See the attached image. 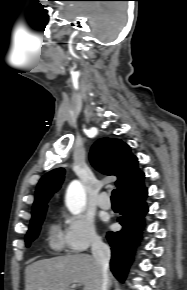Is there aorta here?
I'll return each mask as SVG.
<instances>
[{
  "mask_svg": "<svg viewBox=\"0 0 187 290\" xmlns=\"http://www.w3.org/2000/svg\"><path fill=\"white\" fill-rule=\"evenodd\" d=\"M65 203L69 211L80 214L86 205V193L82 183L78 180L72 181L67 188Z\"/></svg>",
  "mask_w": 187,
  "mask_h": 290,
  "instance_id": "aorta-1",
  "label": "aorta"
}]
</instances>
